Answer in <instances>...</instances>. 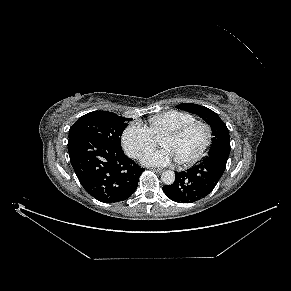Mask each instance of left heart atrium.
I'll return each mask as SVG.
<instances>
[{
  "label": "left heart atrium",
  "mask_w": 291,
  "mask_h": 291,
  "mask_svg": "<svg viewBox=\"0 0 291 291\" xmlns=\"http://www.w3.org/2000/svg\"><path fill=\"white\" fill-rule=\"evenodd\" d=\"M178 161L174 152L167 147L152 149L142 156V163L148 166L163 167Z\"/></svg>",
  "instance_id": "1"
}]
</instances>
